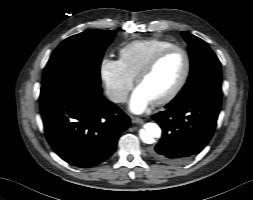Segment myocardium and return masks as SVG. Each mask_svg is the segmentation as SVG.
Segmentation results:
<instances>
[{
  "label": "myocardium",
  "mask_w": 253,
  "mask_h": 200,
  "mask_svg": "<svg viewBox=\"0 0 253 200\" xmlns=\"http://www.w3.org/2000/svg\"><path fill=\"white\" fill-rule=\"evenodd\" d=\"M173 52H180L183 54L184 58H185V71L184 74L181 78V80L179 81V83L176 85V87L165 97H163L162 99L153 102V105L155 106H164L168 103H170L171 101H173L183 90V88L185 87L189 76H190V72H191V59L190 56L188 54V52L178 46H174L168 49H165L161 52H159L158 54H156L146 65H144L141 70L137 73L136 77H135V84L138 87L140 82L147 77L150 73L153 72V70L158 66V64L169 54L173 53Z\"/></svg>",
  "instance_id": "1"
}]
</instances>
